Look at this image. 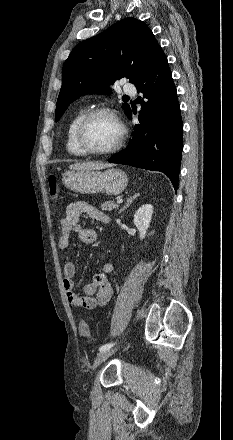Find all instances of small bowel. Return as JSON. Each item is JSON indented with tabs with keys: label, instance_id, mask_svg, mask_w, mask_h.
<instances>
[{
	"label": "small bowel",
	"instance_id": "small-bowel-1",
	"mask_svg": "<svg viewBox=\"0 0 233 440\" xmlns=\"http://www.w3.org/2000/svg\"><path fill=\"white\" fill-rule=\"evenodd\" d=\"M83 215L98 222H106L108 219L102 211L88 202L70 203L66 208L65 216L60 221L61 235L58 239L60 249L68 248L72 232L77 233L81 242L85 244H94L97 241V232L83 227L81 222ZM113 269L111 262L102 263L99 271L93 275L92 282L84 288V294H76L73 282L76 266L73 262H67L63 267V287L68 302L76 308L84 309H95L106 305L112 295L107 276L113 272Z\"/></svg>",
	"mask_w": 233,
	"mask_h": 440
}]
</instances>
